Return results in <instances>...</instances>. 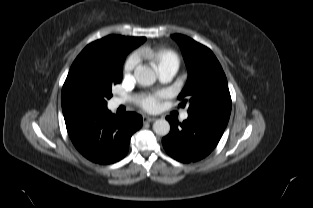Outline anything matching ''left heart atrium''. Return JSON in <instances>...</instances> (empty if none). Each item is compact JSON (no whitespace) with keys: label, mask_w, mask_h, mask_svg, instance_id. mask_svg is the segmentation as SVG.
Masks as SVG:
<instances>
[{"label":"left heart atrium","mask_w":313,"mask_h":208,"mask_svg":"<svg viewBox=\"0 0 313 208\" xmlns=\"http://www.w3.org/2000/svg\"><path fill=\"white\" fill-rule=\"evenodd\" d=\"M159 94L141 95L138 98V104L146 111L154 112L159 107Z\"/></svg>","instance_id":"39dd6f15"}]
</instances>
